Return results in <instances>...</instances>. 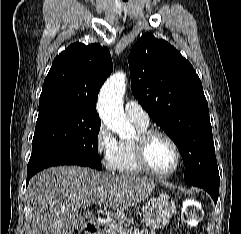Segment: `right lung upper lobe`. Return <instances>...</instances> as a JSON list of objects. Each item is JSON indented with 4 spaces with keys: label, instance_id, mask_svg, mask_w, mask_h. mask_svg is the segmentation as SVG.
Masks as SVG:
<instances>
[{
    "label": "right lung upper lobe",
    "instance_id": "obj_1",
    "mask_svg": "<svg viewBox=\"0 0 241 234\" xmlns=\"http://www.w3.org/2000/svg\"><path fill=\"white\" fill-rule=\"evenodd\" d=\"M113 70L110 52L99 44L74 43L53 61L39 107L65 105L97 114L96 98Z\"/></svg>",
    "mask_w": 241,
    "mask_h": 234
}]
</instances>
